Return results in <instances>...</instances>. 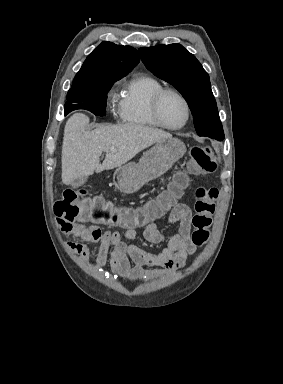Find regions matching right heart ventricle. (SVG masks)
Returning <instances> with one entry per match:
<instances>
[{"label":"right heart ventricle","instance_id":"right-heart-ventricle-1","mask_svg":"<svg viewBox=\"0 0 283 384\" xmlns=\"http://www.w3.org/2000/svg\"><path fill=\"white\" fill-rule=\"evenodd\" d=\"M163 89L156 79L142 73L129 76L123 85L118 104L121 121L138 129H155L157 126L149 115V104L154 95Z\"/></svg>","mask_w":283,"mask_h":384}]
</instances>
